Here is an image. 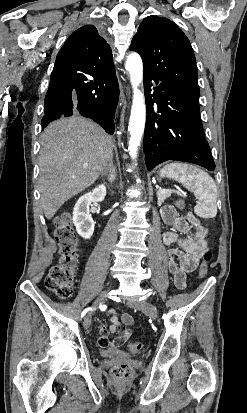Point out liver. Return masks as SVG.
<instances>
[{
    "label": "liver",
    "mask_w": 247,
    "mask_h": 413,
    "mask_svg": "<svg viewBox=\"0 0 247 413\" xmlns=\"http://www.w3.org/2000/svg\"><path fill=\"white\" fill-rule=\"evenodd\" d=\"M39 190L46 219L93 184L113 156V138L80 114L50 122L41 134Z\"/></svg>",
    "instance_id": "liver-1"
}]
</instances>
